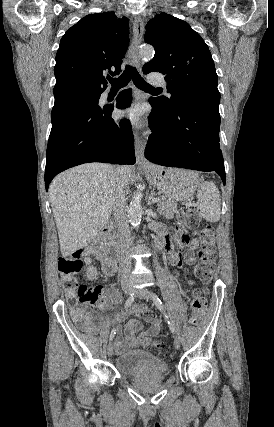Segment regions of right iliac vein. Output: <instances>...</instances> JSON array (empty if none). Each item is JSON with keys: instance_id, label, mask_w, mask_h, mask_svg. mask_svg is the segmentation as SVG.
<instances>
[{"instance_id": "right-iliac-vein-1", "label": "right iliac vein", "mask_w": 274, "mask_h": 427, "mask_svg": "<svg viewBox=\"0 0 274 427\" xmlns=\"http://www.w3.org/2000/svg\"><path fill=\"white\" fill-rule=\"evenodd\" d=\"M121 285H122V290L124 291L125 294H130L132 292V289H131L129 283L126 282L125 280L122 281ZM107 353H108L109 357L113 356V354H114V347H113L112 344H109Z\"/></svg>"}]
</instances>
